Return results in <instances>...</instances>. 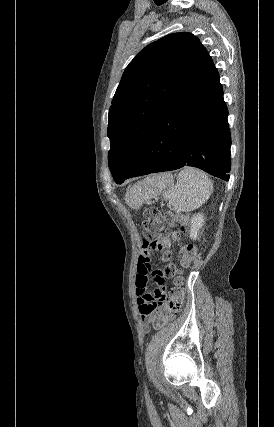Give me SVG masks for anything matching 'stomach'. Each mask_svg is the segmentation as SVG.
<instances>
[{"instance_id":"stomach-1","label":"stomach","mask_w":274,"mask_h":427,"mask_svg":"<svg viewBox=\"0 0 274 427\" xmlns=\"http://www.w3.org/2000/svg\"><path fill=\"white\" fill-rule=\"evenodd\" d=\"M156 178H158V180H160V182H164L166 188H168V186H172L173 184V176H171V174H162V176H153V178H150V180H156ZM131 192H128L127 194V202L129 204V206H131V208H134L136 202L134 200V196H133V192H137V194H143L141 200H139V206H142V204H144V202H146V200H150L151 196H152V192L151 190H145V188H130Z\"/></svg>"}]
</instances>
